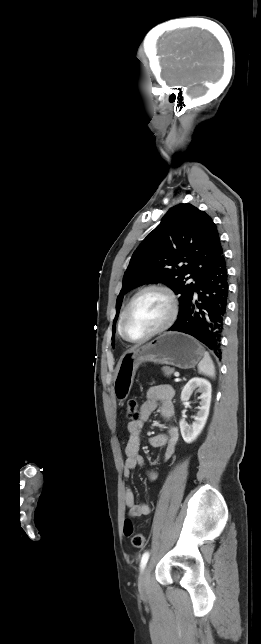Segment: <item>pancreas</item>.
<instances>
[{
  "label": "pancreas",
  "instance_id": "cf45deb5",
  "mask_svg": "<svg viewBox=\"0 0 261 644\" xmlns=\"http://www.w3.org/2000/svg\"><path fill=\"white\" fill-rule=\"evenodd\" d=\"M162 371L165 374V376H170L172 373H174V369L169 367H163Z\"/></svg>",
  "mask_w": 261,
  "mask_h": 644
}]
</instances>
